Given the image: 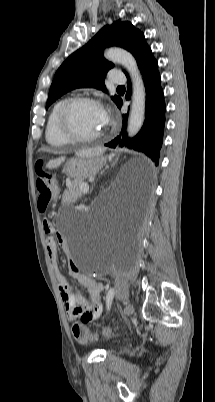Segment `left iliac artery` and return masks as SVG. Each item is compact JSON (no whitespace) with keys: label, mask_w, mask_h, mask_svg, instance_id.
<instances>
[{"label":"left iliac artery","mask_w":215,"mask_h":402,"mask_svg":"<svg viewBox=\"0 0 215 402\" xmlns=\"http://www.w3.org/2000/svg\"><path fill=\"white\" fill-rule=\"evenodd\" d=\"M114 295H115V290H114V288H110L109 291L107 292V295H106V305H107V309H108V310H109L110 307H111V304H112V300H113Z\"/></svg>","instance_id":"left-iliac-artery-1"}]
</instances>
